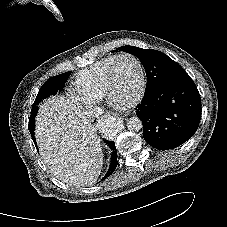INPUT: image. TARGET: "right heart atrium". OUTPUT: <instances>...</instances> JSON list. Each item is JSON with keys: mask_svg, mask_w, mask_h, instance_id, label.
Returning <instances> with one entry per match:
<instances>
[{"mask_svg": "<svg viewBox=\"0 0 227 227\" xmlns=\"http://www.w3.org/2000/svg\"><path fill=\"white\" fill-rule=\"evenodd\" d=\"M81 103H83L84 105H91L94 101H91V100H88V99H85V98H81L80 99Z\"/></svg>", "mask_w": 227, "mask_h": 227, "instance_id": "right-heart-atrium-1", "label": "right heart atrium"}]
</instances>
